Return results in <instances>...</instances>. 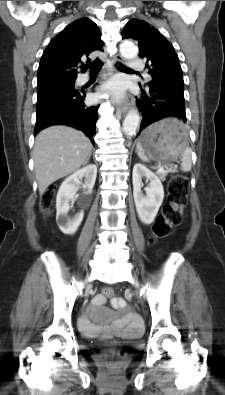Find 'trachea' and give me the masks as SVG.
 Listing matches in <instances>:
<instances>
[{
  "label": "trachea",
  "instance_id": "obj_1",
  "mask_svg": "<svg viewBox=\"0 0 225 395\" xmlns=\"http://www.w3.org/2000/svg\"><path fill=\"white\" fill-rule=\"evenodd\" d=\"M86 69H90L91 73H98L101 70L102 64L99 60H95L92 63H89L87 65L84 66ZM120 69L121 70H131L130 68H128L127 66L120 64Z\"/></svg>",
  "mask_w": 225,
  "mask_h": 395
}]
</instances>
